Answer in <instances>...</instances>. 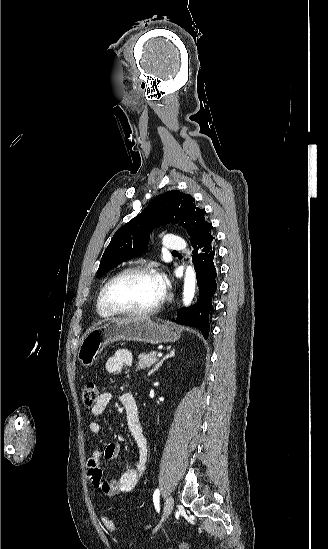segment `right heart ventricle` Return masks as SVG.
<instances>
[{"label": "right heart ventricle", "instance_id": "obj_1", "mask_svg": "<svg viewBox=\"0 0 328 549\" xmlns=\"http://www.w3.org/2000/svg\"><path fill=\"white\" fill-rule=\"evenodd\" d=\"M101 291L98 294L97 301H96V312L100 318L107 320V319H110L111 316H109L103 309V303L101 300Z\"/></svg>", "mask_w": 328, "mask_h": 549}]
</instances>
